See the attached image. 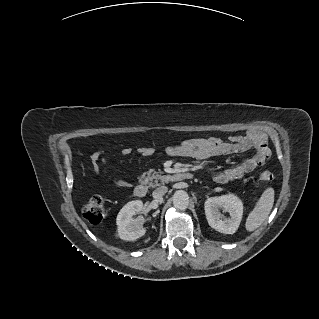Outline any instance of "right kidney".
Listing matches in <instances>:
<instances>
[{"mask_svg":"<svg viewBox=\"0 0 319 319\" xmlns=\"http://www.w3.org/2000/svg\"><path fill=\"white\" fill-rule=\"evenodd\" d=\"M143 209L141 200L128 202L118 213L116 218L118 236L122 240L134 241L145 234L143 227L144 219L139 216L133 218V215L140 213Z\"/></svg>","mask_w":319,"mask_h":319,"instance_id":"ca27d5eb","label":"right kidney"}]
</instances>
